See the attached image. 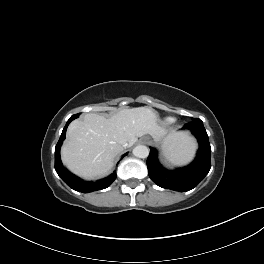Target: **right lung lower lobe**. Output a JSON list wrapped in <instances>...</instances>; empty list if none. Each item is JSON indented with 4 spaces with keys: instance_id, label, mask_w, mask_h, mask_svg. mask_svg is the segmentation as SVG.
Returning a JSON list of instances; mask_svg holds the SVG:
<instances>
[{
    "instance_id": "right-lung-lower-lobe-1",
    "label": "right lung lower lobe",
    "mask_w": 264,
    "mask_h": 264,
    "mask_svg": "<svg viewBox=\"0 0 264 264\" xmlns=\"http://www.w3.org/2000/svg\"><path fill=\"white\" fill-rule=\"evenodd\" d=\"M79 117V114L72 115L70 119L67 121L66 126L64 127L62 134L60 136V139L55 147V170L57 174L61 177V179L72 189L83 192V193H89L96 190H102L107 187H109L114 180L116 179V172H113L110 176L107 178L98 180L96 182H88L84 181L81 178L71 174L68 172L62 165L61 159H60V147L62 145L63 140L66 136V130L69 125V123L74 120L75 118ZM124 154L123 156H125Z\"/></svg>"
}]
</instances>
